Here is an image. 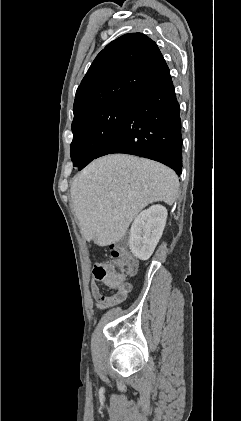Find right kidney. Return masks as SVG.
<instances>
[{
	"instance_id": "right-kidney-1",
	"label": "right kidney",
	"mask_w": 241,
	"mask_h": 421,
	"mask_svg": "<svg viewBox=\"0 0 241 421\" xmlns=\"http://www.w3.org/2000/svg\"><path fill=\"white\" fill-rule=\"evenodd\" d=\"M166 219L167 209L162 205H153L135 218L129 235V247L135 257L149 259L162 236Z\"/></svg>"
}]
</instances>
